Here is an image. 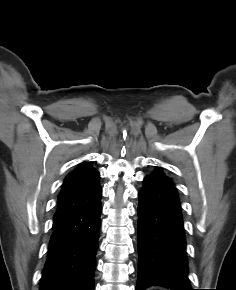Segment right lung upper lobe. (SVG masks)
<instances>
[{
  "mask_svg": "<svg viewBox=\"0 0 236 290\" xmlns=\"http://www.w3.org/2000/svg\"><path fill=\"white\" fill-rule=\"evenodd\" d=\"M101 194L99 172L89 162H82L68 174L58 196L54 217L67 214L94 201Z\"/></svg>",
  "mask_w": 236,
  "mask_h": 290,
  "instance_id": "obj_1",
  "label": "right lung upper lobe"
}]
</instances>
